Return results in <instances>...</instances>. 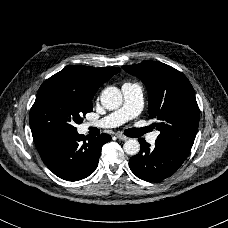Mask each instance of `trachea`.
Wrapping results in <instances>:
<instances>
[{
    "instance_id": "obj_1",
    "label": "trachea",
    "mask_w": 228,
    "mask_h": 228,
    "mask_svg": "<svg viewBox=\"0 0 228 228\" xmlns=\"http://www.w3.org/2000/svg\"><path fill=\"white\" fill-rule=\"evenodd\" d=\"M149 127L144 128H130L125 131V135L129 137H140L144 133L149 132Z\"/></svg>"
}]
</instances>
